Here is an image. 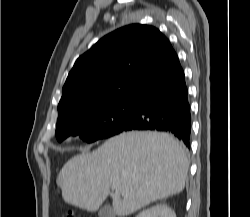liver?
<instances>
[{"instance_id":"1","label":"liver","mask_w":250,"mask_h":217,"mask_svg":"<svg viewBox=\"0 0 250 217\" xmlns=\"http://www.w3.org/2000/svg\"><path fill=\"white\" fill-rule=\"evenodd\" d=\"M188 168L184 146L169 134L133 131L72 157L62 167L57 185L70 205L95 212L110 195L115 214L128 216L180 193Z\"/></svg>"}]
</instances>
